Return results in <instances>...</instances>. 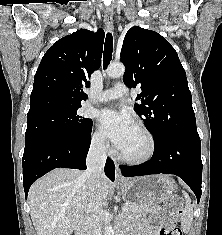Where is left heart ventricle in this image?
<instances>
[{
	"label": "left heart ventricle",
	"instance_id": "obj_1",
	"mask_svg": "<svg viewBox=\"0 0 222 235\" xmlns=\"http://www.w3.org/2000/svg\"><path fill=\"white\" fill-rule=\"evenodd\" d=\"M148 150L149 141L147 137L134 126L119 152L127 157L138 158L144 156Z\"/></svg>",
	"mask_w": 222,
	"mask_h": 235
}]
</instances>
